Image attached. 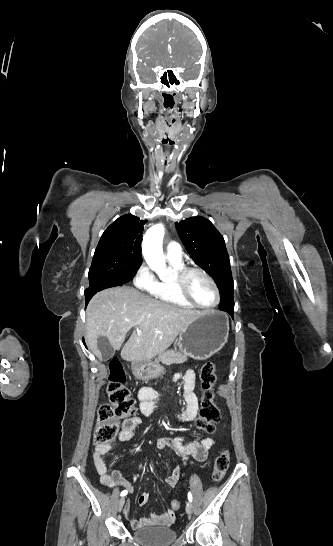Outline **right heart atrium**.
Returning <instances> with one entry per match:
<instances>
[{
	"mask_svg": "<svg viewBox=\"0 0 333 546\" xmlns=\"http://www.w3.org/2000/svg\"><path fill=\"white\" fill-rule=\"evenodd\" d=\"M133 283L139 290L154 296L159 289V282L152 269L146 263H143L137 269L133 278Z\"/></svg>",
	"mask_w": 333,
	"mask_h": 546,
	"instance_id": "obj_1",
	"label": "right heart atrium"
}]
</instances>
